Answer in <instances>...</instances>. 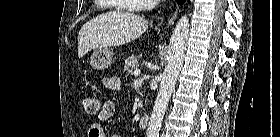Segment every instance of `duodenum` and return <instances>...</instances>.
I'll return each mask as SVG.
<instances>
[{
	"mask_svg": "<svg viewBox=\"0 0 280 137\" xmlns=\"http://www.w3.org/2000/svg\"><path fill=\"white\" fill-rule=\"evenodd\" d=\"M149 116L144 114L139 118V128L141 130H146L148 128L149 125Z\"/></svg>",
	"mask_w": 280,
	"mask_h": 137,
	"instance_id": "obj_1",
	"label": "duodenum"
}]
</instances>
